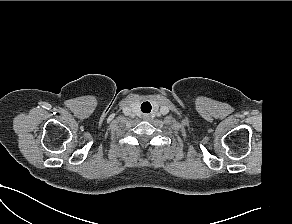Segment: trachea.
<instances>
[{
	"mask_svg": "<svg viewBox=\"0 0 292 224\" xmlns=\"http://www.w3.org/2000/svg\"><path fill=\"white\" fill-rule=\"evenodd\" d=\"M146 104H149V103H148V102L143 103V104H142V107H143L144 105H146Z\"/></svg>",
	"mask_w": 292,
	"mask_h": 224,
	"instance_id": "obj_1",
	"label": "trachea"
}]
</instances>
